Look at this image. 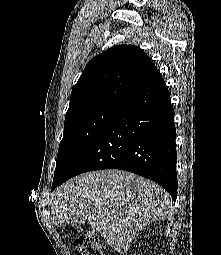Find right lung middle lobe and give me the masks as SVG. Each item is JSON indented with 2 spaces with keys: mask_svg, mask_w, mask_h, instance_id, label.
Wrapping results in <instances>:
<instances>
[{
  "mask_svg": "<svg viewBox=\"0 0 221 255\" xmlns=\"http://www.w3.org/2000/svg\"><path fill=\"white\" fill-rule=\"evenodd\" d=\"M118 107L116 104H105L65 117L52 186L69 172Z\"/></svg>",
  "mask_w": 221,
  "mask_h": 255,
  "instance_id": "dd1d6c3e",
  "label": "right lung middle lobe"
}]
</instances>
